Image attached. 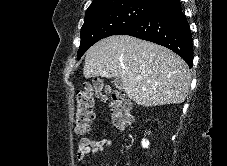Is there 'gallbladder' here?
<instances>
[{"instance_id":"obj_1","label":"gallbladder","mask_w":227,"mask_h":166,"mask_svg":"<svg viewBox=\"0 0 227 166\" xmlns=\"http://www.w3.org/2000/svg\"><path fill=\"white\" fill-rule=\"evenodd\" d=\"M112 84L115 86V88H117L119 90L123 89V83H122L121 79H119V78L114 79L112 81Z\"/></svg>"}]
</instances>
